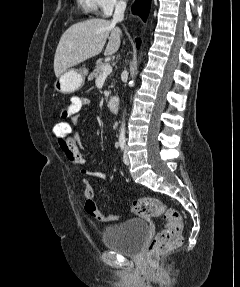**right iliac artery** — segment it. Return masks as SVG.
<instances>
[{
	"instance_id": "82829eb1",
	"label": "right iliac artery",
	"mask_w": 240,
	"mask_h": 287,
	"mask_svg": "<svg viewBox=\"0 0 240 287\" xmlns=\"http://www.w3.org/2000/svg\"><path fill=\"white\" fill-rule=\"evenodd\" d=\"M119 146H120L122 151L125 149V140L124 139L119 140Z\"/></svg>"
}]
</instances>
